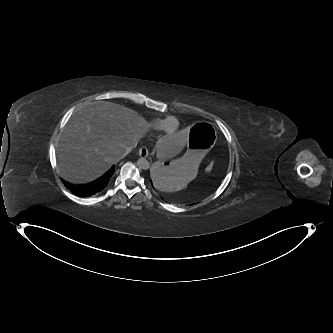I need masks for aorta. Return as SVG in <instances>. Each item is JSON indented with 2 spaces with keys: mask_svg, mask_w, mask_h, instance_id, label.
<instances>
[{
  "mask_svg": "<svg viewBox=\"0 0 333 333\" xmlns=\"http://www.w3.org/2000/svg\"><path fill=\"white\" fill-rule=\"evenodd\" d=\"M137 166L140 168V169H143V170H147L150 168V163L147 159L145 158H139L138 161H137Z\"/></svg>",
  "mask_w": 333,
  "mask_h": 333,
  "instance_id": "obj_1",
  "label": "aorta"
}]
</instances>
